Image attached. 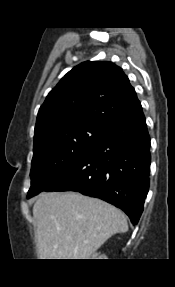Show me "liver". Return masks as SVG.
<instances>
[{
	"label": "liver",
	"instance_id": "obj_1",
	"mask_svg": "<svg viewBox=\"0 0 175 287\" xmlns=\"http://www.w3.org/2000/svg\"><path fill=\"white\" fill-rule=\"evenodd\" d=\"M40 259H88L112 235L125 233V214L75 192L42 193L33 206Z\"/></svg>",
	"mask_w": 175,
	"mask_h": 287
}]
</instances>
